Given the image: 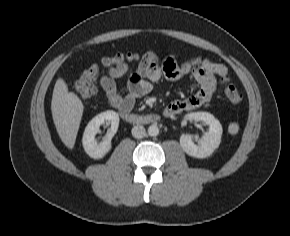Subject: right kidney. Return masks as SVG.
I'll use <instances>...</instances> for the list:
<instances>
[{"mask_svg": "<svg viewBox=\"0 0 290 236\" xmlns=\"http://www.w3.org/2000/svg\"><path fill=\"white\" fill-rule=\"evenodd\" d=\"M111 124L109 134L102 142H97L96 134L101 124ZM119 116L116 112L108 110L95 116L86 126L83 133L82 144L85 152L94 159L103 158L111 149V139L117 132Z\"/></svg>", "mask_w": 290, "mask_h": 236, "instance_id": "ca27d5eb", "label": "right kidney"}]
</instances>
